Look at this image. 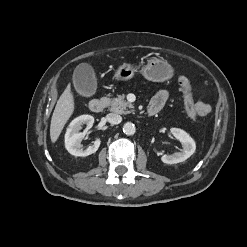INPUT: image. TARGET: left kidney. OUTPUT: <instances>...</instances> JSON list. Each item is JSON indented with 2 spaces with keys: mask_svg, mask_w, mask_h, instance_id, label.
I'll list each match as a JSON object with an SVG mask.
<instances>
[{
  "mask_svg": "<svg viewBox=\"0 0 247 247\" xmlns=\"http://www.w3.org/2000/svg\"><path fill=\"white\" fill-rule=\"evenodd\" d=\"M171 134L180 141L182 144V150L180 152H176L172 155H163L161 160L166 164H176L185 161L188 159L196 150L195 141L192 137L180 128H171Z\"/></svg>",
  "mask_w": 247,
  "mask_h": 247,
  "instance_id": "left-kidney-1",
  "label": "left kidney"
}]
</instances>
